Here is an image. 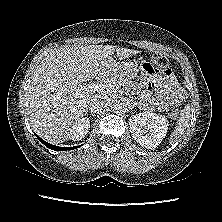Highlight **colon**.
<instances>
[{
  "label": "colon",
  "instance_id": "5ec220e1",
  "mask_svg": "<svg viewBox=\"0 0 222 222\" xmlns=\"http://www.w3.org/2000/svg\"><path fill=\"white\" fill-rule=\"evenodd\" d=\"M142 68L147 74H155L160 71L167 72L169 70V61L164 55L155 53L150 57L148 62L143 64ZM177 116L178 111L175 108L172 109L170 117L176 119Z\"/></svg>",
  "mask_w": 222,
  "mask_h": 222
}]
</instances>
